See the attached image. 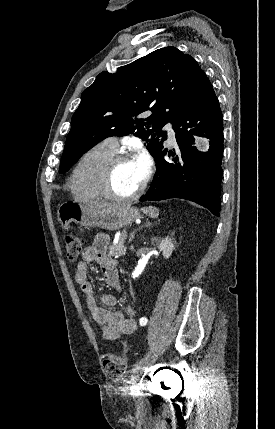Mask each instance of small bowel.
<instances>
[{
    "label": "small bowel",
    "instance_id": "small-bowel-1",
    "mask_svg": "<svg viewBox=\"0 0 275 429\" xmlns=\"http://www.w3.org/2000/svg\"><path fill=\"white\" fill-rule=\"evenodd\" d=\"M108 244V236L102 233L96 235L93 244L86 247L82 253V259L76 267L75 280L86 298L90 316L101 328L103 338L113 341L134 332L138 322L137 310L133 303H127L122 310L112 311L111 308L115 306L116 298L104 294L96 300L93 287L88 280V264L95 262L100 268L105 282L115 289L120 288L116 264L107 257Z\"/></svg>",
    "mask_w": 275,
    "mask_h": 429
}]
</instances>
